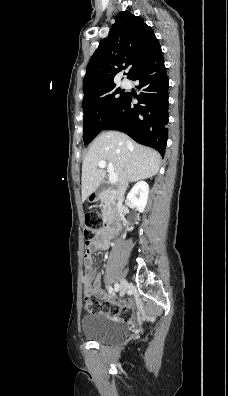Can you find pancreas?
<instances>
[{"mask_svg": "<svg viewBox=\"0 0 228 396\" xmlns=\"http://www.w3.org/2000/svg\"><path fill=\"white\" fill-rule=\"evenodd\" d=\"M101 203H102V216L105 219L109 212V195L106 193L101 194Z\"/></svg>", "mask_w": 228, "mask_h": 396, "instance_id": "cf45deb5", "label": "pancreas"}]
</instances>
